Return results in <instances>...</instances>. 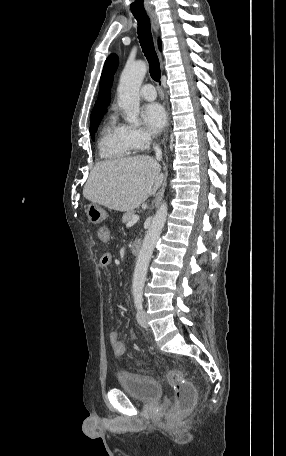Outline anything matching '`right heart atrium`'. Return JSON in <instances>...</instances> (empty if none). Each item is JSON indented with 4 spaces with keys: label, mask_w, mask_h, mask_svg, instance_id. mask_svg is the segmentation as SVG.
<instances>
[{
    "label": "right heart atrium",
    "mask_w": 286,
    "mask_h": 456,
    "mask_svg": "<svg viewBox=\"0 0 286 456\" xmlns=\"http://www.w3.org/2000/svg\"><path fill=\"white\" fill-rule=\"evenodd\" d=\"M126 135L135 149H145L152 142V134L142 127L124 126Z\"/></svg>",
    "instance_id": "1"
}]
</instances>
